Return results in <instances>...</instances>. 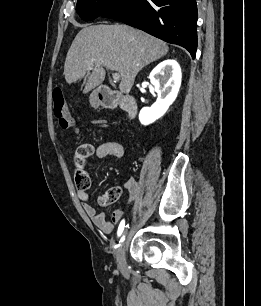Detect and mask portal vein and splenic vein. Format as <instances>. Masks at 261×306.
Segmentation results:
<instances>
[{
    "label": "portal vein and splenic vein",
    "mask_w": 261,
    "mask_h": 306,
    "mask_svg": "<svg viewBox=\"0 0 261 306\" xmlns=\"http://www.w3.org/2000/svg\"><path fill=\"white\" fill-rule=\"evenodd\" d=\"M92 64H93L92 62L89 63V66H92ZM112 77H113L114 81H119L120 80V75L118 73H113Z\"/></svg>",
    "instance_id": "obj_1"
}]
</instances>
